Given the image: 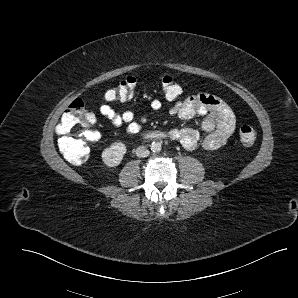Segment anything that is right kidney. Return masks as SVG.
<instances>
[{
	"label": "right kidney",
	"instance_id": "1",
	"mask_svg": "<svg viewBox=\"0 0 298 298\" xmlns=\"http://www.w3.org/2000/svg\"><path fill=\"white\" fill-rule=\"evenodd\" d=\"M126 148L122 143L113 144L111 147L105 149L102 153V159L108 166H115L120 163Z\"/></svg>",
	"mask_w": 298,
	"mask_h": 298
}]
</instances>
